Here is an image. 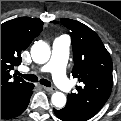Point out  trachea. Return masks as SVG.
I'll return each mask as SVG.
<instances>
[{
  "mask_svg": "<svg viewBox=\"0 0 121 121\" xmlns=\"http://www.w3.org/2000/svg\"><path fill=\"white\" fill-rule=\"evenodd\" d=\"M18 75L22 76L23 78H25L26 80L31 81V82H37L38 81L37 76L34 75V74H21V73H18ZM40 83L42 85L46 86V87L51 86L50 81H48L46 79H40Z\"/></svg>",
  "mask_w": 121,
  "mask_h": 121,
  "instance_id": "trachea-1",
  "label": "trachea"
}]
</instances>
